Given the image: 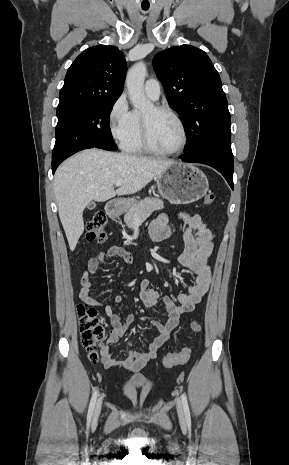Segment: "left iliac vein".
Instances as JSON below:
<instances>
[{
  "label": "left iliac vein",
  "instance_id": "1",
  "mask_svg": "<svg viewBox=\"0 0 289 465\" xmlns=\"http://www.w3.org/2000/svg\"><path fill=\"white\" fill-rule=\"evenodd\" d=\"M176 408H177V413H178L179 419L183 422L184 421V413H183L182 404H181V402L179 400L177 401Z\"/></svg>",
  "mask_w": 289,
  "mask_h": 465
}]
</instances>
